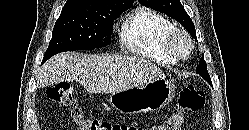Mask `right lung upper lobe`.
Listing matches in <instances>:
<instances>
[{
	"label": "right lung upper lobe",
	"instance_id": "cb5924a9",
	"mask_svg": "<svg viewBox=\"0 0 249 130\" xmlns=\"http://www.w3.org/2000/svg\"><path fill=\"white\" fill-rule=\"evenodd\" d=\"M133 0H68L64 9L97 11L113 4H133Z\"/></svg>",
	"mask_w": 249,
	"mask_h": 130
}]
</instances>
